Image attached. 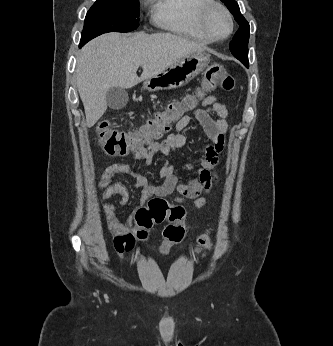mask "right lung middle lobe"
<instances>
[{
	"mask_svg": "<svg viewBox=\"0 0 333 346\" xmlns=\"http://www.w3.org/2000/svg\"><path fill=\"white\" fill-rule=\"evenodd\" d=\"M138 26V0H96L87 12L80 47L103 33L129 32Z\"/></svg>",
	"mask_w": 333,
	"mask_h": 346,
	"instance_id": "obj_1",
	"label": "right lung middle lobe"
}]
</instances>
